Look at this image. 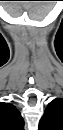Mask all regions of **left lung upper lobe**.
Segmentation results:
<instances>
[{
	"label": "left lung upper lobe",
	"instance_id": "left-lung-upper-lobe-1",
	"mask_svg": "<svg viewBox=\"0 0 63 130\" xmlns=\"http://www.w3.org/2000/svg\"><path fill=\"white\" fill-rule=\"evenodd\" d=\"M39 130H63V99L49 103L40 120Z\"/></svg>",
	"mask_w": 63,
	"mask_h": 130
}]
</instances>
